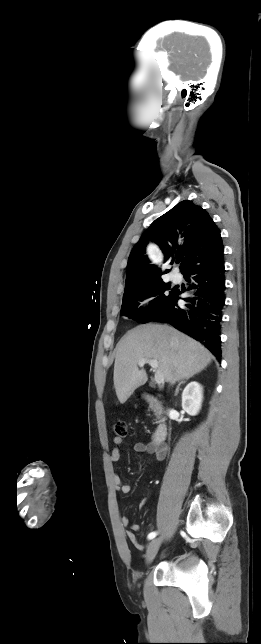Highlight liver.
<instances>
[{"mask_svg": "<svg viewBox=\"0 0 261 644\" xmlns=\"http://www.w3.org/2000/svg\"><path fill=\"white\" fill-rule=\"evenodd\" d=\"M140 359H155L165 382L190 378L210 364L212 354L199 342L167 325L144 324L130 330L116 347L114 387L121 404L147 381Z\"/></svg>", "mask_w": 261, "mask_h": 644, "instance_id": "6515ba94", "label": "liver"}]
</instances>
